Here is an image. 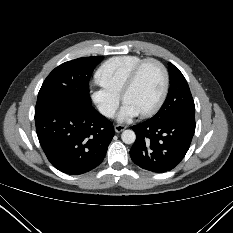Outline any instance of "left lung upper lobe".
<instances>
[{
  "mask_svg": "<svg viewBox=\"0 0 233 233\" xmlns=\"http://www.w3.org/2000/svg\"><path fill=\"white\" fill-rule=\"evenodd\" d=\"M170 89L161 109L151 119L161 121L177 114H195L194 101L182 73L172 63L168 64Z\"/></svg>",
  "mask_w": 233,
  "mask_h": 233,
  "instance_id": "obj_1",
  "label": "left lung upper lobe"
}]
</instances>
